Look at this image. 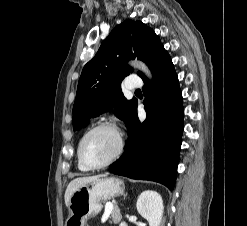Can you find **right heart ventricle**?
Listing matches in <instances>:
<instances>
[{
	"label": "right heart ventricle",
	"instance_id": "e07e8e85",
	"mask_svg": "<svg viewBox=\"0 0 247 226\" xmlns=\"http://www.w3.org/2000/svg\"><path fill=\"white\" fill-rule=\"evenodd\" d=\"M78 167H79L80 170H83V171L88 170V169H86V168L81 164V162L79 161V159H78Z\"/></svg>",
	"mask_w": 247,
	"mask_h": 226
}]
</instances>
